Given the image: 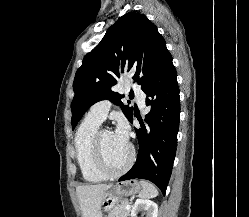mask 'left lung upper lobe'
Segmentation results:
<instances>
[{"mask_svg": "<svg viewBox=\"0 0 249 217\" xmlns=\"http://www.w3.org/2000/svg\"><path fill=\"white\" fill-rule=\"evenodd\" d=\"M170 55L164 38L144 14L127 13L110 26L101 42L83 59L73 82L72 129L94 103L109 99L120 105L129 121L133 107L123 105V96L111 91L125 63L136 67L132 77L144 91ZM130 103V102H128Z\"/></svg>", "mask_w": 249, "mask_h": 217, "instance_id": "obj_1", "label": "left lung upper lobe"}]
</instances>
